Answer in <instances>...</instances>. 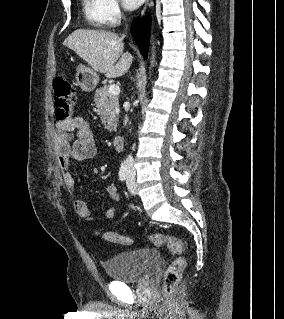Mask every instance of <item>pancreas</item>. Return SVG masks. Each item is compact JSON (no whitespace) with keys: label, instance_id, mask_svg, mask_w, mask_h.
I'll use <instances>...</instances> for the list:
<instances>
[{"label":"pancreas","instance_id":"1","mask_svg":"<svg viewBox=\"0 0 284 319\" xmlns=\"http://www.w3.org/2000/svg\"><path fill=\"white\" fill-rule=\"evenodd\" d=\"M108 85L96 90L94 102L105 129L115 131L119 116V98L108 92Z\"/></svg>","mask_w":284,"mask_h":319}]
</instances>
